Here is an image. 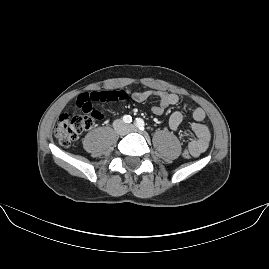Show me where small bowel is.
<instances>
[{
  "instance_id": "obj_1",
  "label": "small bowel",
  "mask_w": 269,
  "mask_h": 269,
  "mask_svg": "<svg viewBox=\"0 0 269 269\" xmlns=\"http://www.w3.org/2000/svg\"><path fill=\"white\" fill-rule=\"evenodd\" d=\"M151 97H155L159 101V103L152 108V112L155 115H162L167 107L177 105L180 102V98L176 93H169L162 90L136 92L132 95V98L137 102H143ZM187 108L188 106L183 104L180 109L175 110L170 115L168 125L171 130L185 133L181 129V124L184 119L183 111ZM192 117L194 122L191 124V132L195 135V138L188 143V149L193 157H199L207 150L211 140V133L208 126L203 122L205 112L202 108H194Z\"/></svg>"
}]
</instances>
